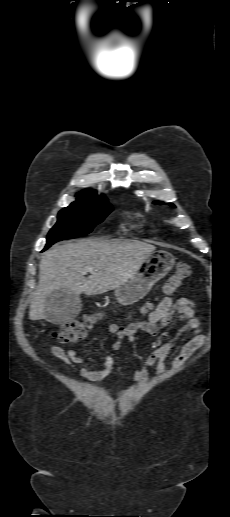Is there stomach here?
<instances>
[{"label": "stomach", "mask_w": 230, "mask_h": 517, "mask_svg": "<svg viewBox=\"0 0 230 517\" xmlns=\"http://www.w3.org/2000/svg\"><path fill=\"white\" fill-rule=\"evenodd\" d=\"M174 257L166 251L152 253L129 280L114 291L116 301L131 305L142 299L152 286L174 266Z\"/></svg>", "instance_id": "obj_1"}]
</instances>
